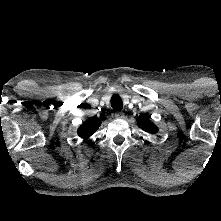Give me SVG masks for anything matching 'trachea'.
Here are the masks:
<instances>
[{
	"label": "trachea",
	"instance_id": "1",
	"mask_svg": "<svg viewBox=\"0 0 221 221\" xmlns=\"http://www.w3.org/2000/svg\"><path fill=\"white\" fill-rule=\"evenodd\" d=\"M111 106L114 110L120 111L123 108V102L118 94H114L111 97Z\"/></svg>",
	"mask_w": 221,
	"mask_h": 221
}]
</instances>
